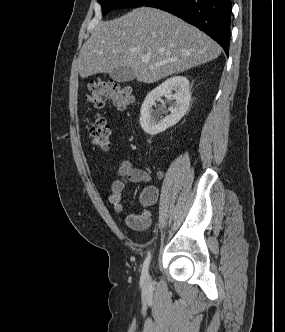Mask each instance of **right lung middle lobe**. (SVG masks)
Instances as JSON below:
<instances>
[{
	"mask_svg": "<svg viewBox=\"0 0 285 332\" xmlns=\"http://www.w3.org/2000/svg\"><path fill=\"white\" fill-rule=\"evenodd\" d=\"M148 0H98L102 6V13L106 15L109 11L117 8H136L143 6Z\"/></svg>",
	"mask_w": 285,
	"mask_h": 332,
	"instance_id": "1",
	"label": "right lung middle lobe"
}]
</instances>
